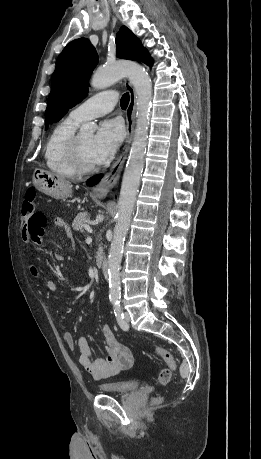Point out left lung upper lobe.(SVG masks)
<instances>
[{
	"mask_svg": "<svg viewBox=\"0 0 261 459\" xmlns=\"http://www.w3.org/2000/svg\"><path fill=\"white\" fill-rule=\"evenodd\" d=\"M117 57L142 61L148 66L153 59L140 40L125 26L116 37ZM98 62L95 48L85 38L70 42L57 59L46 109V129L59 121L68 109L81 102L88 92L89 77Z\"/></svg>",
	"mask_w": 261,
	"mask_h": 459,
	"instance_id": "5c2ea615",
	"label": "left lung upper lobe"
}]
</instances>
